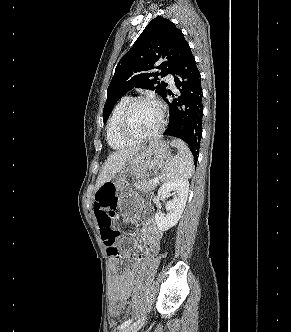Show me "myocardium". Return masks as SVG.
<instances>
[{
    "instance_id": "f54148a6",
    "label": "myocardium",
    "mask_w": 291,
    "mask_h": 332,
    "mask_svg": "<svg viewBox=\"0 0 291 332\" xmlns=\"http://www.w3.org/2000/svg\"><path fill=\"white\" fill-rule=\"evenodd\" d=\"M140 102H151L154 103L160 112V125L157 128V130L155 132H153L150 135H146V136H136L132 133H130V131L128 130V120H129V116L133 110V108ZM166 123H167V118H166V109L164 104L157 98L153 97V96H149V95H142V96H137L132 98L129 103L126 105V107L124 108L121 117H120V121H119V131L121 133V135L134 143H138V142H145V141H150L153 140L155 138H157L158 136H160V134L164 131L165 127H166Z\"/></svg>"
}]
</instances>
